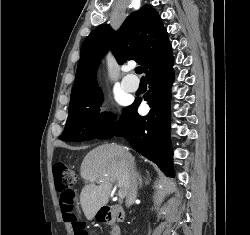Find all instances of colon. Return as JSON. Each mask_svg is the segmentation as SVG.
I'll use <instances>...</instances> for the list:
<instances>
[{"label": "colon", "instance_id": "colon-1", "mask_svg": "<svg viewBox=\"0 0 250 235\" xmlns=\"http://www.w3.org/2000/svg\"><path fill=\"white\" fill-rule=\"evenodd\" d=\"M54 180L60 193V207L64 220L72 226L74 235H88L84 222L75 213L76 195L72 187L77 182L75 170L64 162H57L53 166Z\"/></svg>", "mask_w": 250, "mask_h": 235}]
</instances>
